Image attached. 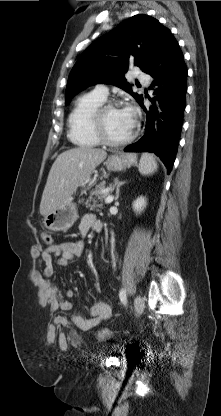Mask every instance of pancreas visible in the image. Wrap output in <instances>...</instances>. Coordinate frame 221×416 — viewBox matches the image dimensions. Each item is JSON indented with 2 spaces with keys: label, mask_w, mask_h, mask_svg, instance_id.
Returning <instances> with one entry per match:
<instances>
[{
  "label": "pancreas",
  "mask_w": 221,
  "mask_h": 416,
  "mask_svg": "<svg viewBox=\"0 0 221 416\" xmlns=\"http://www.w3.org/2000/svg\"><path fill=\"white\" fill-rule=\"evenodd\" d=\"M107 196H108V193L105 192L104 185L103 184L97 185L95 189L91 191L89 199L85 203L86 208H89L90 210L102 208L103 207L102 202L103 200L106 199Z\"/></svg>",
  "instance_id": "1"
}]
</instances>
